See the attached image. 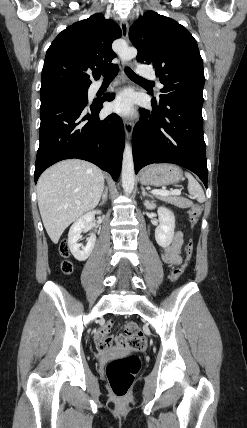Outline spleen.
Masks as SVG:
<instances>
[{
    "mask_svg": "<svg viewBox=\"0 0 247 428\" xmlns=\"http://www.w3.org/2000/svg\"><path fill=\"white\" fill-rule=\"evenodd\" d=\"M185 175L188 178L189 193L196 198L199 203H203L205 201V195L202 187L191 174L186 173Z\"/></svg>",
    "mask_w": 247,
    "mask_h": 428,
    "instance_id": "3e777b00",
    "label": "spleen"
}]
</instances>
